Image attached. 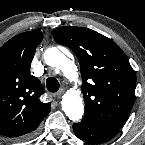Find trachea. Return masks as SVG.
Here are the masks:
<instances>
[{
    "instance_id": "obj_1",
    "label": "trachea",
    "mask_w": 145,
    "mask_h": 145,
    "mask_svg": "<svg viewBox=\"0 0 145 145\" xmlns=\"http://www.w3.org/2000/svg\"><path fill=\"white\" fill-rule=\"evenodd\" d=\"M46 86H47V90L53 93L59 90L60 84L56 78L48 77L46 80Z\"/></svg>"
}]
</instances>
